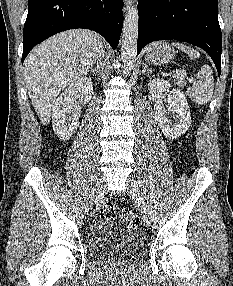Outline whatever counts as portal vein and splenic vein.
<instances>
[{
	"mask_svg": "<svg viewBox=\"0 0 233 286\" xmlns=\"http://www.w3.org/2000/svg\"><path fill=\"white\" fill-rule=\"evenodd\" d=\"M179 76L186 77L187 74H186V72H183L181 70H176L174 77H179ZM188 80L190 82L193 81V79H188Z\"/></svg>",
	"mask_w": 233,
	"mask_h": 286,
	"instance_id": "portal-vein-and-splenic-vein-1",
	"label": "portal vein and splenic vein"
}]
</instances>
